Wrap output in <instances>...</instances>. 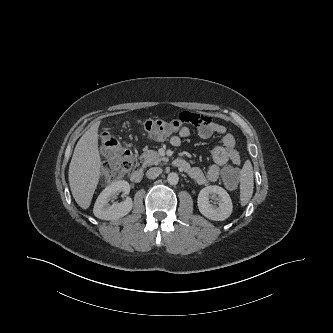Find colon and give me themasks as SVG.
Here are the masks:
<instances>
[{"instance_id": "obj_1", "label": "colon", "mask_w": 333, "mask_h": 333, "mask_svg": "<svg viewBox=\"0 0 333 333\" xmlns=\"http://www.w3.org/2000/svg\"><path fill=\"white\" fill-rule=\"evenodd\" d=\"M181 123H183L181 120L149 119L144 122L143 127L150 137L165 139L174 135L180 129ZM101 150L106 158L103 175L107 181L113 182L120 179L132 168L131 152L109 132L101 134ZM223 180L227 187L234 188L238 184L239 171L232 166L225 167Z\"/></svg>"}]
</instances>
